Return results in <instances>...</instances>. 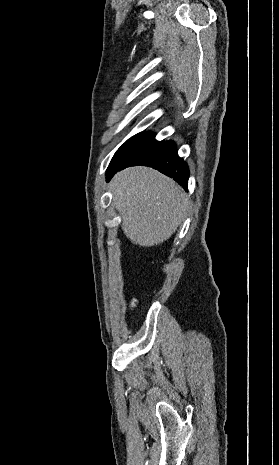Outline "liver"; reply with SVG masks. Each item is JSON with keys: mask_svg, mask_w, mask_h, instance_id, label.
<instances>
[{"mask_svg": "<svg viewBox=\"0 0 279 465\" xmlns=\"http://www.w3.org/2000/svg\"><path fill=\"white\" fill-rule=\"evenodd\" d=\"M111 189L122 230L136 245L150 247L168 240L187 211L188 199L182 188L149 167L135 166L118 172Z\"/></svg>", "mask_w": 279, "mask_h": 465, "instance_id": "liver-1", "label": "liver"}]
</instances>
